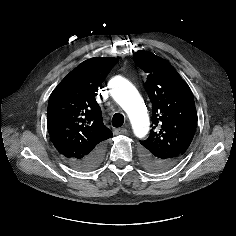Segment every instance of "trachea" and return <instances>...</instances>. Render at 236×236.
<instances>
[{"mask_svg":"<svg viewBox=\"0 0 236 236\" xmlns=\"http://www.w3.org/2000/svg\"><path fill=\"white\" fill-rule=\"evenodd\" d=\"M124 123V116L121 113L114 114L112 118V125L114 127H121Z\"/></svg>","mask_w":236,"mask_h":236,"instance_id":"obj_1","label":"trachea"}]
</instances>
